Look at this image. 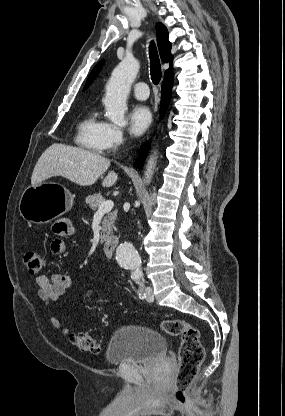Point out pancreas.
I'll list each match as a JSON object with an SVG mask.
<instances>
[{
    "label": "pancreas",
    "instance_id": "cf45deb5",
    "mask_svg": "<svg viewBox=\"0 0 285 416\" xmlns=\"http://www.w3.org/2000/svg\"><path fill=\"white\" fill-rule=\"evenodd\" d=\"M86 204L90 206L91 210H97L103 202H105L103 196L101 194H93V196H87L85 200ZM117 218V210L115 212H109L107 216H105L103 222H102V230L100 232V240L101 242H104L106 240L107 236L109 234H112L115 226L114 222Z\"/></svg>",
    "mask_w": 285,
    "mask_h": 416
}]
</instances>
